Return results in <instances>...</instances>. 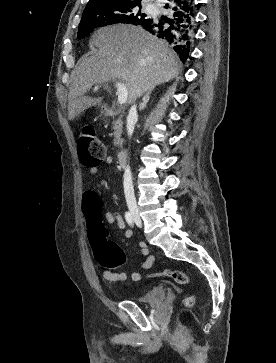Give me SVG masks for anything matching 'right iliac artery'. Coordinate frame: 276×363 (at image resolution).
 I'll return each mask as SVG.
<instances>
[{"label": "right iliac artery", "mask_w": 276, "mask_h": 363, "mask_svg": "<svg viewBox=\"0 0 276 363\" xmlns=\"http://www.w3.org/2000/svg\"><path fill=\"white\" fill-rule=\"evenodd\" d=\"M125 219L130 226H133V217L129 212L125 213Z\"/></svg>", "instance_id": "82829eb1"}]
</instances>
